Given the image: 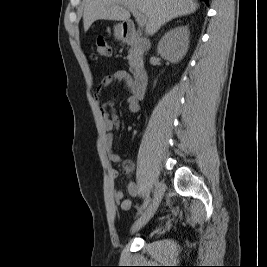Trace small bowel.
Listing matches in <instances>:
<instances>
[{"label":"small bowel","mask_w":267,"mask_h":267,"mask_svg":"<svg viewBox=\"0 0 267 267\" xmlns=\"http://www.w3.org/2000/svg\"><path fill=\"white\" fill-rule=\"evenodd\" d=\"M116 81L123 82L127 85V87L132 91L133 80L129 73L124 70H119L115 72L113 75H109L104 77L95 94L97 99L100 98L101 92L104 88L111 86ZM126 107L129 113H137L139 111V102L138 99L133 95H129L126 99ZM101 117H102V127L104 130V137H103V147L107 153V157L110 162L118 163L121 161L120 156L114 150V134L113 130L120 126V121L117 115L113 110V103L106 102L104 103L101 108ZM124 168L126 172H131L133 170V164L129 161L124 162ZM109 176L111 179H116L119 176V172L115 168H111L109 170ZM127 191L128 193L133 196L137 197L139 195V186L135 181H129L127 183ZM113 198L117 204H120L123 210H130L133 205L132 202L128 199H124V193L121 190H114L113 191Z\"/></svg>","instance_id":"obj_1"}]
</instances>
